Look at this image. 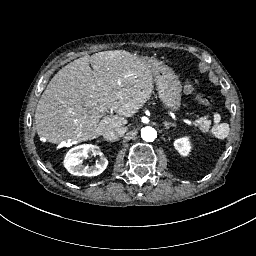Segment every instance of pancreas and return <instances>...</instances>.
<instances>
[{"label":"pancreas","instance_id":"pancreas-1","mask_svg":"<svg viewBox=\"0 0 256 256\" xmlns=\"http://www.w3.org/2000/svg\"><path fill=\"white\" fill-rule=\"evenodd\" d=\"M210 124V121H207L205 118L201 117L196 121V125L200 126V129L202 131L206 130V127Z\"/></svg>","mask_w":256,"mask_h":256}]
</instances>
